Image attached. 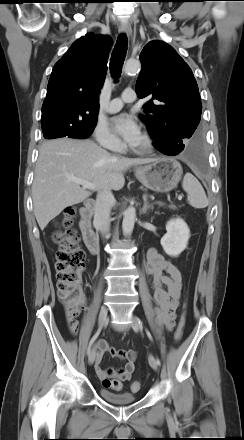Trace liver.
I'll use <instances>...</instances> for the list:
<instances>
[{"instance_id": "obj_1", "label": "liver", "mask_w": 244, "mask_h": 440, "mask_svg": "<svg viewBox=\"0 0 244 440\" xmlns=\"http://www.w3.org/2000/svg\"><path fill=\"white\" fill-rule=\"evenodd\" d=\"M153 158L116 157L91 140L61 138L46 141L39 149L32 184L33 209L41 230L66 207L85 201L92 192L71 179L94 183L96 189L123 188V173Z\"/></svg>"}]
</instances>
